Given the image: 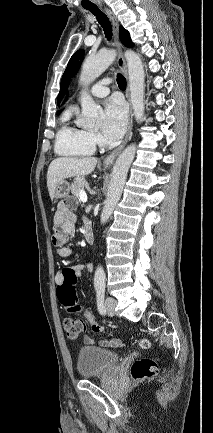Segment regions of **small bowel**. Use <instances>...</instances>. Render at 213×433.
<instances>
[{"instance_id": "1", "label": "small bowel", "mask_w": 213, "mask_h": 433, "mask_svg": "<svg viewBox=\"0 0 213 433\" xmlns=\"http://www.w3.org/2000/svg\"><path fill=\"white\" fill-rule=\"evenodd\" d=\"M72 205L73 203L69 200L59 203L53 219L54 231L52 234V242L57 247V254L61 258H67L73 253V249L65 245L66 241L69 238H73L75 235V217L70 211ZM85 226H89L87 221H85ZM69 268H72L76 275L80 276L84 270L90 271L92 266L91 264H80ZM55 282L58 288L63 285L62 271L56 274ZM84 341L87 344L94 343V339L89 335L84 336ZM100 344L108 347H119L122 345L121 341L116 338L102 340Z\"/></svg>"}]
</instances>
